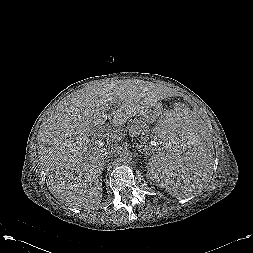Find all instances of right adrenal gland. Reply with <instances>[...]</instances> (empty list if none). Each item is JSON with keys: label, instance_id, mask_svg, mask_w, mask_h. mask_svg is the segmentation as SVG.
<instances>
[{"label": "right adrenal gland", "instance_id": "1", "mask_svg": "<svg viewBox=\"0 0 253 253\" xmlns=\"http://www.w3.org/2000/svg\"><path fill=\"white\" fill-rule=\"evenodd\" d=\"M108 162H109V157L104 160V167L107 165Z\"/></svg>", "mask_w": 253, "mask_h": 253}]
</instances>
